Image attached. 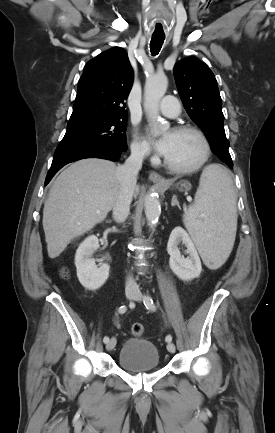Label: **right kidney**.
<instances>
[{
    "mask_svg": "<svg viewBox=\"0 0 275 433\" xmlns=\"http://www.w3.org/2000/svg\"><path fill=\"white\" fill-rule=\"evenodd\" d=\"M98 248V238L91 235L79 245L75 255L77 277L82 286L89 290L100 288L109 276L110 266L102 264L100 267H97L95 260L92 258L93 253Z\"/></svg>",
    "mask_w": 275,
    "mask_h": 433,
    "instance_id": "right-kidney-1",
    "label": "right kidney"
}]
</instances>
